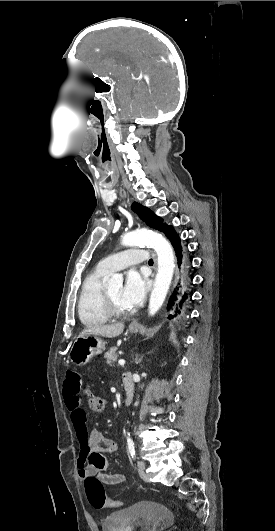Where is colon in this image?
Here are the masks:
<instances>
[{"mask_svg": "<svg viewBox=\"0 0 275 531\" xmlns=\"http://www.w3.org/2000/svg\"><path fill=\"white\" fill-rule=\"evenodd\" d=\"M80 399L82 402H88L90 409L95 412H102L104 409L103 398L89 388H86L85 391L81 392ZM95 481V476L87 475L83 483V486L86 489L85 494L88 496L89 501L92 502V508L98 511H109L111 507H116L118 502H110L109 504L102 503L105 499V491L103 488L99 487Z\"/></svg>", "mask_w": 275, "mask_h": 531, "instance_id": "obj_1", "label": "colon"}]
</instances>
